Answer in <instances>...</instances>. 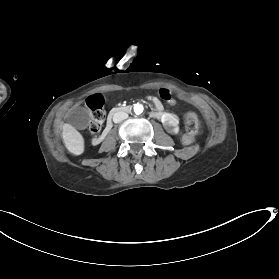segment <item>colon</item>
Here are the masks:
<instances>
[{
  "mask_svg": "<svg viewBox=\"0 0 279 279\" xmlns=\"http://www.w3.org/2000/svg\"><path fill=\"white\" fill-rule=\"evenodd\" d=\"M104 118L105 114L102 108H99L93 112L88 126V130L91 134H96L101 130ZM185 126L188 136H186L184 140L185 142L190 143L193 140V136L196 135L200 130V121L194 112H189L186 114Z\"/></svg>",
  "mask_w": 279,
  "mask_h": 279,
  "instance_id": "5ec220e1",
  "label": "colon"
}]
</instances>
